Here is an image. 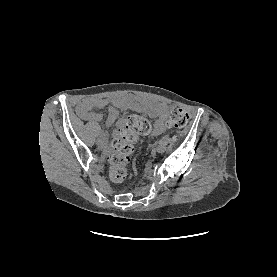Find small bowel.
<instances>
[{"instance_id":"c3829d8e","label":"small bowel","mask_w":277,"mask_h":277,"mask_svg":"<svg viewBox=\"0 0 277 277\" xmlns=\"http://www.w3.org/2000/svg\"><path fill=\"white\" fill-rule=\"evenodd\" d=\"M109 106L106 120V127L110 128L116 124L114 134L117 135L123 126V120L118 119L119 109L143 111L145 106L148 113L156 118L155 125L150 133L152 137H156L165 130L164 122L167 114V107L162 103L147 102L132 95L117 96L112 99L106 98H86L81 100L77 106V114L88 122H101L103 116L100 113L94 112L93 108H103Z\"/></svg>"}]
</instances>
